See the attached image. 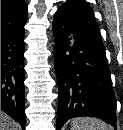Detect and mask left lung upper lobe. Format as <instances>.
Listing matches in <instances>:
<instances>
[{"label": "left lung upper lobe", "instance_id": "5c2ea615", "mask_svg": "<svg viewBox=\"0 0 123 130\" xmlns=\"http://www.w3.org/2000/svg\"><path fill=\"white\" fill-rule=\"evenodd\" d=\"M60 8L65 10L80 27L100 35L93 9L85 0H68Z\"/></svg>", "mask_w": 123, "mask_h": 130}]
</instances>
